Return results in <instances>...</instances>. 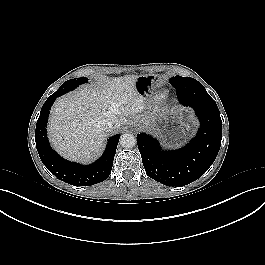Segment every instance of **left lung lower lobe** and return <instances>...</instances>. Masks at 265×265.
Returning a JSON list of instances; mask_svg holds the SVG:
<instances>
[{"instance_id":"1","label":"left lung lower lobe","mask_w":265,"mask_h":265,"mask_svg":"<svg viewBox=\"0 0 265 265\" xmlns=\"http://www.w3.org/2000/svg\"><path fill=\"white\" fill-rule=\"evenodd\" d=\"M180 103L195 110L199 131L179 150L163 151L151 136L140 133L137 144L149 177L172 187L187 185L201 177L214 162L221 145L222 121L213 99L197 80L171 82Z\"/></svg>"}]
</instances>
